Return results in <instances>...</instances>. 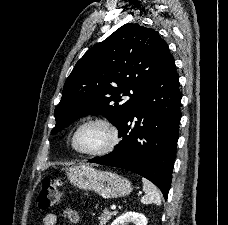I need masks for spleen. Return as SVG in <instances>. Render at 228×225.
<instances>
[{"mask_svg": "<svg viewBox=\"0 0 228 225\" xmlns=\"http://www.w3.org/2000/svg\"><path fill=\"white\" fill-rule=\"evenodd\" d=\"M142 181L145 195L141 197V203H143V205H151V203L161 205V195L157 187H155L153 183H150V181H147V179H142Z\"/></svg>", "mask_w": 228, "mask_h": 225, "instance_id": "obj_1", "label": "spleen"}]
</instances>
